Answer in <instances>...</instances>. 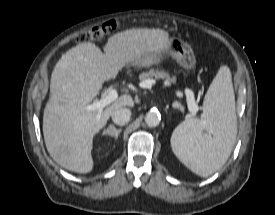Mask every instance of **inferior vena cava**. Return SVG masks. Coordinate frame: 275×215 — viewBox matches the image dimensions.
<instances>
[{
    "label": "inferior vena cava",
    "instance_id": "602c4592",
    "mask_svg": "<svg viewBox=\"0 0 275 215\" xmlns=\"http://www.w3.org/2000/svg\"><path fill=\"white\" fill-rule=\"evenodd\" d=\"M111 117L115 124L122 126L130 120L131 111L128 108L122 107L114 111Z\"/></svg>",
    "mask_w": 275,
    "mask_h": 215
}]
</instances>
